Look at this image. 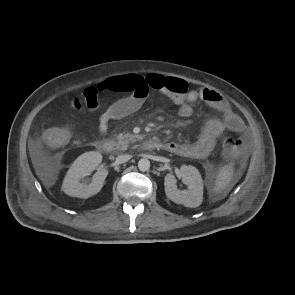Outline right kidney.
Wrapping results in <instances>:
<instances>
[{"label":"right kidney","mask_w":295,"mask_h":295,"mask_svg":"<svg viewBox=\"0 0 295 295\" xmlns=\"http://www.w3.org/2000/svg\"><path fill=\"white\" fill-rule=\"evenodd\" d=\"M101 161L102 155L95 151L86 152L79 156L68 170L62 184V190L67 195L78 198H88L97 194L103 187L108 170L101 169L97 171L91 183L80 182V180L89 175Z\"/></svg>","instance_id":"ca27d5eb"}]
</instances>
